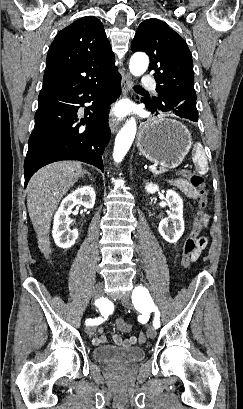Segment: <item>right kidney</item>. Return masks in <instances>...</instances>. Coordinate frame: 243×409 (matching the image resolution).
I'll return each instance as SVG.
<instances>
[{
  "instance_id": "ca27d5eb",
  "label": "right kidney",
  "mask_w": 243,
  "mask_h": 409,
  "mask_svg": "<svg viewBox=\"0 0 243 409\" xmlns=\"http://www.w3.org/2000/svg\"><path fill=\"white\" fill-rule=\"evenodd\" d=\"M95 191L90 186H84L66 196L54 216L52 236L56 245L67 249L73 246L78 238V230L69 228L68 216L77 204L91 209L95 204Z\"/></svg>"
}]
</instances>
